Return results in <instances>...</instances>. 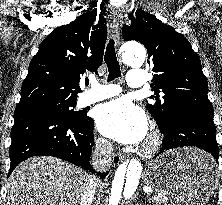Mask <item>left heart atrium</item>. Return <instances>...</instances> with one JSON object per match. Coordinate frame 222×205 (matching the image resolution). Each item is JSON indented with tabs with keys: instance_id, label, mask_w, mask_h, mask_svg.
Instances as JSON below:
<instances>
[{
	"instance_id": "39dd6f15",
	"label": "left heart atrium",
	"mask_w": 222,
	"mask_h": 205,
	"mask_svg": "<svg viewBox=\"0 0 222 205\" xmlns=\"http://www.w3.org/2000/svg\"><path fill=\"white\" fill-rule=\"evenodd\" d=\"M96 122L105 136L125 144L142 141L148 132L145 112L126 97L101 105Z\"/></svg>"
}]
</instances>
